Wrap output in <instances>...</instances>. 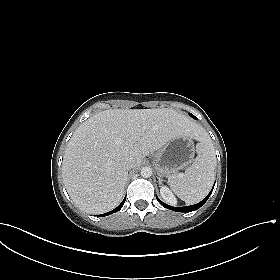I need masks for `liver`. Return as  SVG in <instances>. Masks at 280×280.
<instances>
[{
    "instance_id": "1",
    "label": "liver",
    "mask_w": 280,
    "mask_h": 280,
    "mask_svg": "<svg viewBox=\"0 0 280 280\" xmlns=\"http://www.w3.org/2000/svg\"><path fill=\"white\" fill-rule=\"evenodd\" d=\"M204 139L203 129L173 109H110L83 122L63 157L64 185L83 211L100 214L114 209L124 194L127 156L139 167L149 153L172 138Z\"/></svg>"
}]
</instances>
